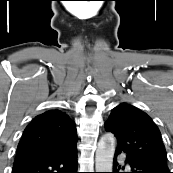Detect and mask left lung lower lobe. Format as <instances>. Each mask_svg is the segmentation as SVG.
I'll list each match as a JSON object with an SVG mask.
<instances>
[{
	"mask_svg": "<svg viewBox=\"0 0 173 173\" xmlns=\"http://www.w3.org/2000/svg\"><path fill=\"white\" fill-rule=\"evenodd\" d=\"M119 152L116 151L114 156L113 162V172L112 173H120L119 169L121 166L118 167L117 163V155ZM127 163L130 165V172L129 173H170L169 170L161 168L157 165L151 164L146 161L139 160L133 156L127 155ZM124 169V167H122Z\"/></svg>",
	"mask_w": 173,
	"mask_h": 173,
	"instance_id": "1",
	"label": "left lung lower lobe"
}]
</instances>
